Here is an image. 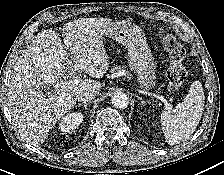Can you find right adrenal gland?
<instances>
[{
  "label": "right adrenal gland",
  "instance_id": "right-adrenal-gland-1",
  "mask_svg": "<svg viewBox=\"0 0 224 175\" xmlns=\"http://www.w3.org/2000/svg\"><path fill=\"white\" fill-rule=\"evenodd\" d=\"M89 104H90V102H84V103H81V104L76 105V107L83 106L85 109H87V107H88Z\"/></svg>",
  "mask_w": 224,
  "mask_h": 175
}]
</instances>
